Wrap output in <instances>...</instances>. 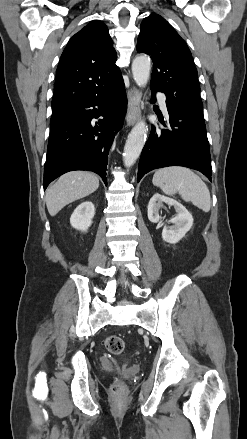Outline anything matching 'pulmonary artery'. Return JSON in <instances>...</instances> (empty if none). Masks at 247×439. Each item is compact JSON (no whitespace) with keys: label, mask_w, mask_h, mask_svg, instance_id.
<instances>
[{"label":"pulmonary artery","mask_w":247,"mask_h":439,"mask_svg":"<svg viewBox=\"0 0 247 439\" xmlns=\"http://www.w3.org/2000/svg\"><path fill=\"white\" fill-rule=\"evenodd\" d=\"M160 105L164 113H167L166 97L163 94H159Z\"/></svg>","instance_id":"pulmonary-artery-1"}]
</instances>
